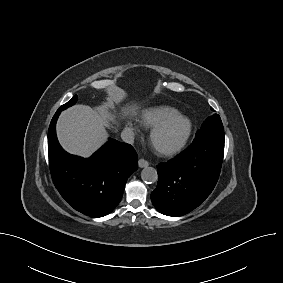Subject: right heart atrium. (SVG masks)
I'll return each instance as SVG.
<instances>
[{"label": "right heart atrium", "mask_w": 283, "mask_h": 283, "mask_svg": "<svg viewBox=\"0 0 283 283\" xmlns=\"http://www.w3.org/2000/svg\"><path fill=\"white\" fill-rule=\"evenodd\" d=\"M126 129L133 134H138L139 133V128L138 126L133 122V121H127L126 123Z\"/></svg>", "instance_id": "1"}]
</instances>
